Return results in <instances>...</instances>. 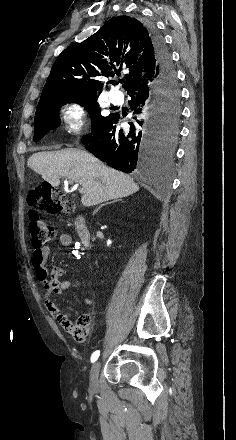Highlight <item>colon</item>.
<instances>
[{"instance_id": "colon-1", "label": "colon", "mask_w": 236, "mask_h": 440, "mask_svg": "<svg viewBox=\"0 0 236 440\" xmlns=\"http://www.w3.org/2000/svg\"><path fill=\"white\" fill-rule=\"evenodd\" d=\"M28 202L34 208L29 213L31 244L34 248H38L54 238L55 230L36 208L46 209L52 214H61L72 211L74 205L61 191L54 189L48 183L35 187L28 197Z\"/></svg>"}]
</instances>
